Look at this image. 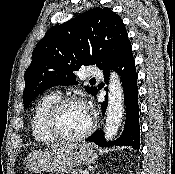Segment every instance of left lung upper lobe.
Wrapping results in <instances>:
<instances>
[{
	"label": "left lung upper lobe",
	"instance_id": "obj_1",
	"mask_svg": "<svg viewBox=\"0 0 175 174\" xmlns=\"http://www.w3.org/2000/svg\"><path fill=\"white\" fill-rule=\"evenodd\" d=\"M130 44L122 19L110 8H95L51 28L37 44L25 72L24 108L56 85L77 84L82 65L109 68ZM95 95V87H85Z\"/></svg>",
	"mask_w": 175,
	"mask_h": 174
}]
</instances>
